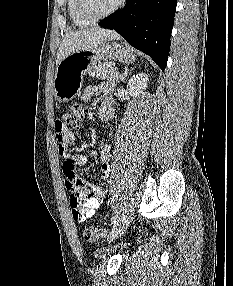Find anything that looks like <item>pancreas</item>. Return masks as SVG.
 <instances>
[{
	"label": "pancreas",
	"mask_w": 233,
	"mask_h": 286,
	"mask_svg": "<svg viewBox=\"0 0 233 286\" xmlns=\"http://www.w3.org/2000/svg\"><path fill=\"white\" fill-rule=\"evenodd\" d=\"M118 72L116 67H112L110 63L99 64L89 71V75L98 79L116 82L118 77L114 75Z\"/></svg>",
	"instance_id": "obj_1"
}]
</instances>
